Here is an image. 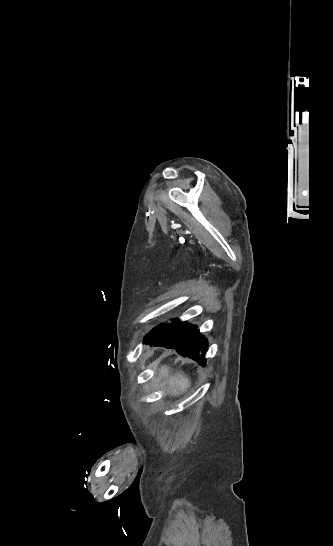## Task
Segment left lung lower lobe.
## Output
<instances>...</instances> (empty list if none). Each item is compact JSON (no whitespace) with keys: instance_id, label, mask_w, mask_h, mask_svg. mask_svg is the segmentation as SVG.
Returning <instances> with one entry per match:
<instances>
[{"instance_id":"1","label":"left lung lower lobe","mask_w":333,"mask_h":546,"mask_svg":"<svg viewBox=\"0 0 333 546\" xmlns=\"http://www.w3.org/2000/svg\"><path fill=\"white\" fill-rule=\"evenodd\" d=\"M143 342L151 346L173 348L182 356L189 357L202 366L206 364L204 355L208 350V341L196 325H190L186 321L174 319L170 323H161L145 336Z\"/></svg>"}]
</instances>
